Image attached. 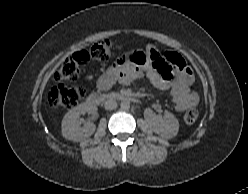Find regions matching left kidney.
Wrapping results in <instances>:
<instances>
[{"mask_svg": "<svg viewBox=\"0 0 248 194\" xmlns=\"http://www.w3.org/2000/svg\"><path fill=\"white\" fill-rule=\"evenodd\" d=\"M152 130L163 138L171 139L177 135L179 123L173 114L166 113L165 119H156L152 125Z\"/></svg>", "mask_w": 248, "mask_h": 194, "instance_id": "5707ae66", "label": "left kidney"}]
</instances>
